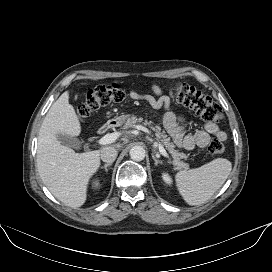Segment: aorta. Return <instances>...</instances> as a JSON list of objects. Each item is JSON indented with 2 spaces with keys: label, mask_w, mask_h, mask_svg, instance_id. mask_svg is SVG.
Listing matches in <instances>:
<instances>
[{
  "label": "aorta",
  "mask_w": 272,
  "mask_h": 272,
  "mask_svg": "<svg viewBox=\"0 0 272 272\" xmlns=\"http://www.w3.org/2000/svg\"><path fill=\"white\" fill-rule=\"evenodd\" d=\"M145 149L142 146H134L130 149V157L134 161H142L145 158Z\"/></svg>",
  "instance_id": "1"
}]
</instances>
